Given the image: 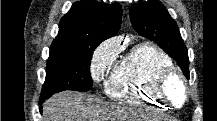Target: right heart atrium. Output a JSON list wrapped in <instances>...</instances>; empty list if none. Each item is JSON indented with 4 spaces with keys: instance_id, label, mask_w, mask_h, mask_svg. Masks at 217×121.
I'll list each match as a JSON object with an SVG mask.
<instances>
[{
    "instance_id": "right-heart-atrium-1",
    "label": "right heart atrium",
    "mask_w": 217,
    "mask_h": 121,
    "mask_svg": "<svg viewBox=\"0 0 217 121\" xmlns=\"http://www.w3.org/2000/svg\"><path fill=\"white\" fill-rule=\"evenodd\" d=\"M117 52L118 47L112 40L105 41L98 47L93 54L90 66V72L95 81L103 77Z\"/></svg>"
}]
</instances>
